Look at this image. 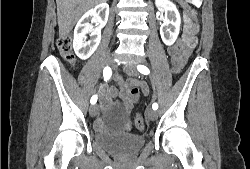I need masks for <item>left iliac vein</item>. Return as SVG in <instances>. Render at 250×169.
Here are the masks:
<instances>
[{
  "label": "left iliac vein",
  "instance_id": "left-iliac-vein-1",
  "mask_svg": "<svg viewBox=\"0 0 250 169\" xmlns=\"http://www.w3.org/2000/svg\"><path fill=\"white\" fill-rule=\"evenodd\" d=\"M135 64L134 62L124 66V71L129 74L130 76H138V72L135 68ZM147 116L151 121H154L157 119V112L153 109H148L147 110Z\"/></svg>",
  "mask_w": 250,
  "mask_h": 169
}]
</instances>
